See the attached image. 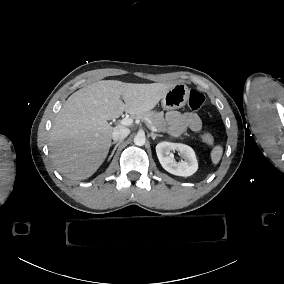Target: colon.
Wrapping results in <instances>:
<instances>
[{
    "label": "colon",
    "instance_id": "1",
    "mask_svg": "<svg viewBox=\"0 0 284 284\" xmlns=\"http://www.w3.org/2000/svg\"><path fill=\"white\" fill-rule=\"evenodd\" d=\"M205 103L204 95L196 89L189 91L188 105L192 109H200ZM202 139L205 143H212L214 138L211 133H204Z\"/></svg>",
    "mask_w": 284,
    "mask_h": 284
}]
</instances>
